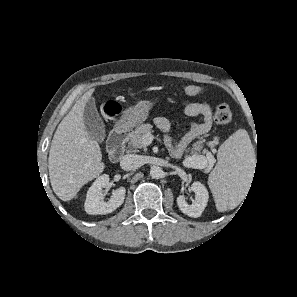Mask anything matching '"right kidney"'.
Listing matches in <instances>:
<instances>
[{"mask_svg":"<svg viewBox=\"0 0 297 297\" xmlns=\"http://www.w3.org/2000/svg\"><path fill=\"white\" fill-rule=\"evenodd\" d=\"M109 180V176L107 174H103L98 177L89 188L84 203L86 213L91 215L108 214L123 204L126 193V189L124 187L116 189L112 193L108 202L103 201L102 188H106L109 185Z\"/></svg>","mask_w":297,"mask_h":297,"instance_id":"1","label":"right kidney"}]
</instances>
